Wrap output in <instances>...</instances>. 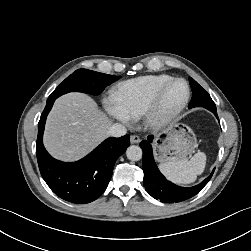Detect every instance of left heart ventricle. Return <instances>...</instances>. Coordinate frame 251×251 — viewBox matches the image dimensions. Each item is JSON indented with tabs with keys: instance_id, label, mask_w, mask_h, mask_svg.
Returning a JSON list of instances; mask_svg holds the SVG:
<instances>
[{
	"instance_id": "left-heart-ventricle-1",
	"label": "left heart ventricle",
	"mask_w": 251,
	"mask_h": 251,
	"mask_svg": "<svg viewBox=\"0 0 251 251\" xmlns=\"http://www.w3.org/2000/svg\"><path fill=\"white\" fill-rule=\"evenodd\" d=\"M186 88L181 82L174 83L165 92L162 100V110L168 112L176 108L185 98Z\"/></svg>"
}]
</instances>
